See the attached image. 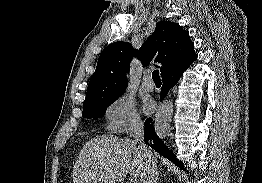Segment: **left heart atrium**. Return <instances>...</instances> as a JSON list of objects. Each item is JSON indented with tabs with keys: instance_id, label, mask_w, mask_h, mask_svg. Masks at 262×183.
Wrapping results in <instances>:
<instances>
[{
	"instance_id": "39dd6f15",
	"label": "left heart atrium",
	"mask_w": 262,
	"mask_h": 183,
	"mask_svg": "<svg viewBox=\"0 0 262 183\" xmlns=\"http://www.w3.org/2000/svg\"><path fill=\"white\" fill-rule=\"evenodd\" d=\"M152 109H153L152 101H150V100L145 101L144 102V110H145V112L149 113V112L152 111Z\"/></svg>"
}]
</instances>
